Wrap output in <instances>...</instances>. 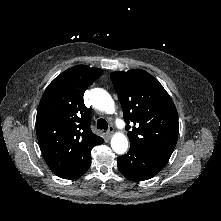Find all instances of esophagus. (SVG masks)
I'll return each mask as SVG.
<instances>
[{"instance_id":"obj_1","label":"esophagus","mask_w":221,"mask_h":221,"mask_svg":"<svg viewBox=\"0 0 221 221\" xmlns=\"http://www.w3.org/2000/svg\"><path fill=\"white\" fill-rule=\"evenodd\" d=\"M113 132H114V128H113L112 126H110L109 129H108V131H107V135H108L109 137H111L112 134H113Z\"/></svg>"}]
</instances>
